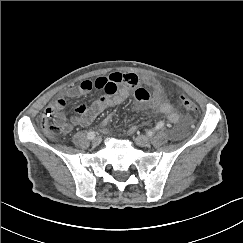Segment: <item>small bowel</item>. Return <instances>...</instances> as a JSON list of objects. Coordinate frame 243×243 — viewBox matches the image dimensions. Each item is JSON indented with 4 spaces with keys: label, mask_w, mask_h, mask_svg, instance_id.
<instances>
[{
    "label": "small bowel",
    "mask_w": 243,
    "mask_h": 243,
    "mask_svg": "<svg viewBox=\"0 0 243 243\" xmlns=\"http://www.w3.org/2000/svg\"><path fill=\"white\" fill-rule=\"evenodd\" d=\"M143 82L152 88V94L144 89H136L133 99L136 103H144L151 100L156 109L165 114L169 121L178 123L180 121L179 114L169 103L162 102V88L160 84L151 76H144ZM139 78L134 73H111L107 76H99L95 79H84L77 85L67 88L59 94L47 107L45 113H57L65 106V97L75 98L86 95L92 90H99L102 95L94 102L82 103L74 108V115L70 119V123L65 122L66 132L70 131L73 126L86 127L93 123L99 114L106 109L122 104L129 96L131 91L138 85ZM58 117H63L58 114ZM107 126V121L103 123V127ZM136 131L135 126L128 128V133L133 134Z\"/></svg>",
    "instance_id": "c3829d8e"
}]
</instances>
